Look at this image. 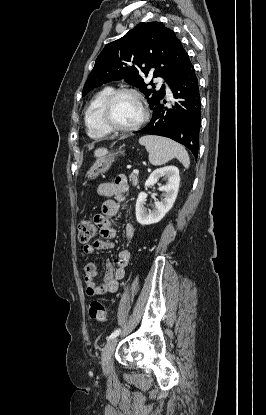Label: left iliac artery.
Instances as JSON below:
<instances>
[{
    "instance_id": "obj_1",
    "label": "left iliac artery",
    "mask_w": 266,
    "mask_h": 415,
    "mask_svg": "<svg viewBox=\"0 0 266 415\" xmlns=\"http://www.w3.org/2000/svg\"><path fill=\"white\" fill-rule=\"evenodd\" d=\"M121 330L120 329H116L115 331H113L111 333V335L109 336V339L117 337L120 334Z\"/></svg>"
}]
</instances>
